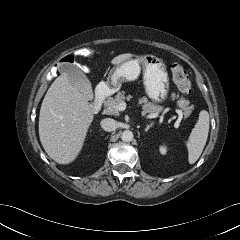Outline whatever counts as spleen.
<instances>
[{
	"label": "spleen",
	"mask_w": 240,
	"mask_h": 240,
	"mask_svg": "<svg viewBox=\"0 0 240 240\" xmlns=\"http://www.w3.org/2000/svg\"><path fill=\"white\" fill-rule=\"evenodd\" d=\"M209 132V113L202 110L199 113L198 121L191 131L186 147L188 150V161L194 164L202 154Z\"/></svg>",
	"instance_id": "spleen-1"
}]
</instances>
